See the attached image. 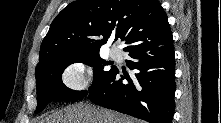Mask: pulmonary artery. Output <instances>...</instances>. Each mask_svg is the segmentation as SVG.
<instances>
[{
  "mask_svg": "<svg viewBox=\"0 0 221 123\" xmlns=\"http://www.w3.org/2000/svg\"><path fill=\"white\" fill-rule=\"evenodd\" d=\"M111 56L115 59L120 58L121 57V53L119 50L113 49L111 51Z\"/></svg>",
  "mask_w": 221,
  "mask_h": 123,
  "instance_id": "1",
  "label": "pulmonary artery"
}]
</instances>
